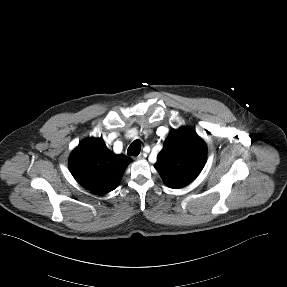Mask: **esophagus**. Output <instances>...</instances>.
<instances>
[{"label":"esophagus","instance_id":"obj_1","mask_svg":"<svg viewBox=\"0 0 287 287\" xmlns=\"http://www.w3.org/2000/svg\"><path fill=\"white\" fill-rule=\"evenodd\" d=\"M136 159L142 160V159H144V155H143V154H139V155L136 157Z\"/></svg>","mask_w":287,"mask_h":287}]
</instances>
